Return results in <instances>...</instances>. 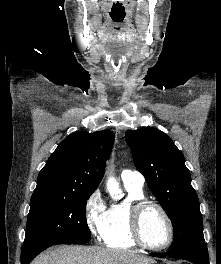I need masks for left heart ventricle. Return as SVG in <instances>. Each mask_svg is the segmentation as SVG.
Masks as SVG:
<instances>
[{"instance_id": "1", "label": "left heart ventricle", "mask_w": 221, "mask_h": 264, "mask_svg": "<svg viewBox=\"0 0 221 264\" xmlns=\"http://www.w3.org/2000/svg\"><path fill=\"white\" fill-rule=\"evenodd\" d=\"M141 232L144 240L153 246L163 245L169 236L166 220L161 212L154 208H147L141 220Z\"/></svg>"}]
</instances>
